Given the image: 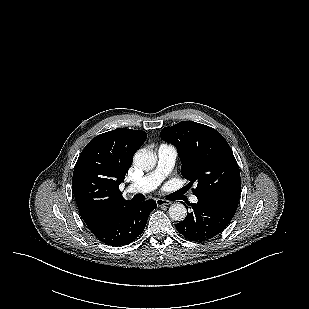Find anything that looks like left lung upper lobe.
I'll use <instances>...</instances> for the list:
<instances>
[{
  "label": "left lung upper lobe",
  "mask_w": 309,
  "mask_h": 309,
  "mask_svg": "<svg viewBox=\"0 0 309 309\" xmlns=\"http://www.w3.org/2000/svg\"><path fill=\"white\" fill-rule=\"evenodd\" d=\"M161 138L176 146L182 162L181 174L197 187V197H215L238 203L241 177L233 152L215 129L193 121H182L161 131Z\"/></svg>",
  "instance_id": "5c2ea615"
}]
</instances>
